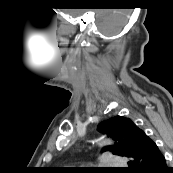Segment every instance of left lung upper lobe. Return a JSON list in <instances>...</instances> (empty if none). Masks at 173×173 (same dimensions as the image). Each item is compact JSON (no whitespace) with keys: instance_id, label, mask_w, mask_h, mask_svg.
Masks as SVG:
<instances>
[{"instance_id":"1","label":"left lung upper lobe","mask_w":173,"mask_h":173,"mask_svg":"<svg viewBox=\"0 0 173 173\" xmlns=\"http://www.w3.org/2000/svg\"><path fill=\"white\" fill-rule=\"evenodd\" d=\"M98 130L108 134L117 141L114 146H108L103 151L109 150L115 155L129 158L139 144V133L142 131L129 118L115 116L101 122Z\"/></svg>"}]
</instances>
